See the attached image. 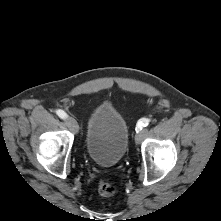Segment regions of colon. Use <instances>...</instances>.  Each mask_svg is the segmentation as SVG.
Wrapping results in <instances>:
<instances>
[{"mask_svg": "<svg viewBox=\"0 0 221 221\" xmlns=\"http://www.w3.org/2000/svg\"><path fill=\"white\" fill-rule=\"evenodd\" d=\"M98 193L103 197L112 196L116 192V186L109 181H100L97 185Z\"/></svg>", "mask_w": 221, "mask_h": 221, "instance_id": "colon-1", "label": "colon"}]
</instances>
